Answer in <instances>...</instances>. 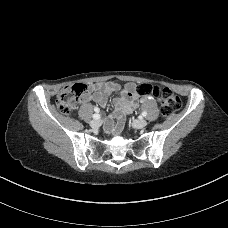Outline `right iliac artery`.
I'll use <instances>...</instances> for the list:
<instances>
[{
  "label": "right iliac artery",
  "mask_w": 228,
  "mask_h": 228,
  "mask_svg": "<svg viewBox=\"0 0 228 228\" xmlns=\"http://www.w3.org/2000/svg\"><path fill=\"white\" fill-rule=\"evenodd\" d=\"M98 111H99V109L96 108L95 109L96 114L93 115V119H99L100 118V115L98 114Z\"/></svg>",
  "instance_id": "obj_1"
}]
</instances>
